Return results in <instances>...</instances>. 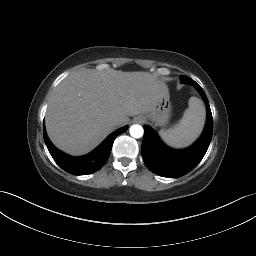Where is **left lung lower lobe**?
I'll return each mask as SVG.
<instances>
[{
  "instance_id": "obj_1",
  "label": "left lung lower lobe",
  "mask_w": 256,
  "mask_h": 256,
  "mask_svg": "<svg viewBox=\"0 0 256 256\" xmlns=\"http://www.w3.org/2000/svg\"><path fill=\"white\" fill-rule=\"evenodd\" d=\"M200 93L206 104L207 122L201 137L195 144L184 150L168 148L158 135L147 125H144V138L141 153L144 163L150 171L163 177L178 178L191 171L204 157L213 133V118L208 99L203 89L191 78L186 79Z\"/></svg>"
}]
</instances>
